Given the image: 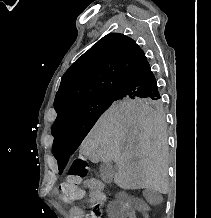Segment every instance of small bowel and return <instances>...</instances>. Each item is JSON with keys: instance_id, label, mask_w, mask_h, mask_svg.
I'll list each match as a JSON object with an SVG mask.
<instances>
[{"instance_id": "1", "label": "small bowel", "mask_w": 211, "mask_h": 218, "mask_svg": "<svg viewBox=\"0 0 211 218\" xmlns=\"http://www.w3.org/2000/svg\"><path fill=\"white\" fill-rule=\"evenodd\" d=\"M84 188L88 191L89 200L96 205H103L106 201L104 194V184L96 179H90L83 184ZM51 194L55 197L58 196V190L52 189ZM73 218H84V211L79 207H74L71 210ZM112 216L116 218H137L136 209L122 205L117 208L111 209Z\"/></svg>"}]
</instances>
